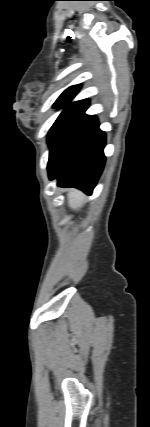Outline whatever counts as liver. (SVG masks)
<instances>
[{"label": "liver", "mask_w": 150, "mask_h": 427, "mask_svg": "<svg viewBox=\"0 0 150 427\" xmlns=\"http://www.w3.org/2000/svg\"><path fill=\"white\" fill-rule=\"evenodd\" d=\"M68 204L73 210H80L84 204V195L77 190H70L67 193Z\"/></svg>", "instance_id": "obj_1"}]
</instances>
